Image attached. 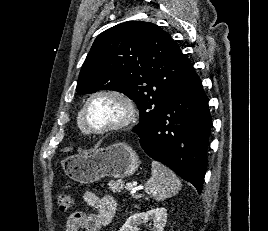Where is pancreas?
Listing matches in <instances>:
<instances>
[{
  "label": "pancreas",
  "mask_w": 268,
  "mask_h": 231,
  "mask_svg": "<svg viewBox=\"0 0 268 231\" xmlns=\"http://www.w3.org/2000/svg\"><path fill=\"white\" fill-rule=\"evenodd\" d=\"M109 186L114 193H120L123 190L124 184L120 182H110Z\"/></svg>",
  "instance_id": "obj_1"
}]
</instances>
